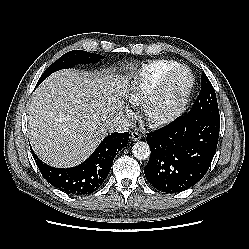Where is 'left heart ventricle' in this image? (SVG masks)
<instances>
[{"label": "left heart ventricle", "mask_w": 249, "mask_h": 249, "mask_svg": "<svg viewBox=\"0 0 249 249\" xmlns=\"http://www.w3.org/2000/svg\"><path fill=\"white\" fill-rule=\"evenodd\" d=\"M189 81V75L187 71L182 70L178 72L172 79L166 99V105L172 104L181 92L184 90Z\"/></svg>", "instance_id": "1"}]
</instances>
